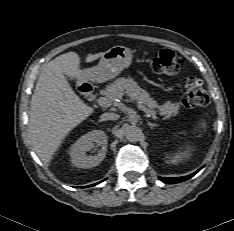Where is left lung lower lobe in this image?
Returning a JSON list of instances; mask_svg holds the SVG:
<instances>
[{
	"mask_svg": "<svg viewBox=\"0 0 234 231\" xmlns=\"http://www.w3.org/2000/svg\"><path fill=\"white\" fill-rule=\"evenodd\" d=\"M199 170H197L193 174H190V175L184 176V177H177V178H162V177H159V178L164 183H168V184L179 183V182H183V181L188 180L189 178L193 177Z\"/></svg>",
	"mask_w": 234,
	"mask_h": 231,
	"instance_id": "obj_1",
	"label": "left lung lower lobe"
}]
</instances>
